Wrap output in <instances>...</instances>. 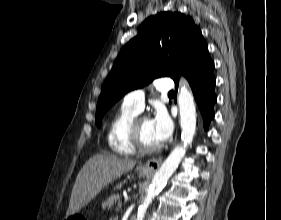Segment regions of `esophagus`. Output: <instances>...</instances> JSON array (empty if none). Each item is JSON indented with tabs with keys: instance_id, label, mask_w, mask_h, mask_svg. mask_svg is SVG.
I'll use <instances>...</instances> for the list:
<instances>
[{
	"instance_id": "34e87169",
	"label": "esophagus",
	"mask_w": 281,
	"mask_h": 220,
	"mask_svg": "<svg viewBox=\"0 0 281 220\" xmlns=\"http://www.w3.org/2000/svg\"><path fill=\"white\" fill-rule=\"evenodd\" d=\"M162 163V158H154L147 161L143 166L142 170L146 172H155Z\"/></svg>"
}]
</instances>
